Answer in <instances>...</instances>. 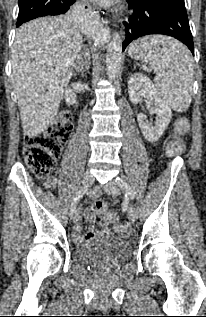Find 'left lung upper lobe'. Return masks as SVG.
I'll return each mask as SVG.
<instances>
[{"instance_id":"1","label":"left lung upper lobe","mask_w":206,"mask_h":317,"mask_svg":"<svg viewBox=\"0 0 206 317\" xmlns=\"http://www.w3.org/2000/svg\"><path fill=\"white\" fill-rule=\"evenodd\" d=\"M175 1L184 3V0H175Z\"/></svg>"}]
</instances>
